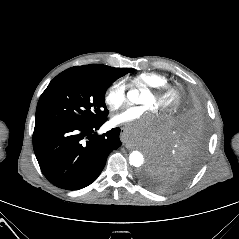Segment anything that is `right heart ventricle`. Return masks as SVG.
<instances>
[{"instance_id": "e07e8e85", "label": "right heart ventricle", "mask_w": 239, "mask_h": 239, "mask_svg": "<svg viewBox=\"0 0 239 239\" xmlns=\"http://www.w3.org/2000/svg\"><path fill=\"white\" fill-rule=\"evenodd\" d=\"M131 83L135 86L156 88L166 86L168 79L162 74L155 72L139 73L131 78Z\"/></svg>"}]
</instances>
